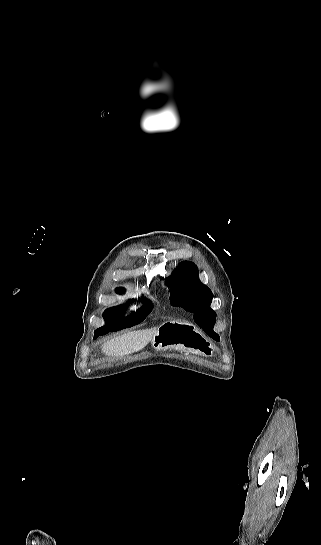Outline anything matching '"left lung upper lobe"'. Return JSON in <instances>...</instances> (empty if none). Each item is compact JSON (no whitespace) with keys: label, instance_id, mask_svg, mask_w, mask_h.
Segmentation results:
<instances>
[{"label":"left lung upper lobe","instance_id":"obj_1","mask_svg":"<svg viewBox=\"0 0 321 545\" xmlns=\"http://www.w3.org/2000/svg\"><path fill=\"white\" fill-rule=\"evenodd\" d=\"M170 301L195 313L194 321L207 333L214 334L216 313L210 308L213 298L211 290L200 282L197 266L188 261L180 263L168 278Z\"/></svg>","mask_w":321,"mask_h":545}]
</instances>
